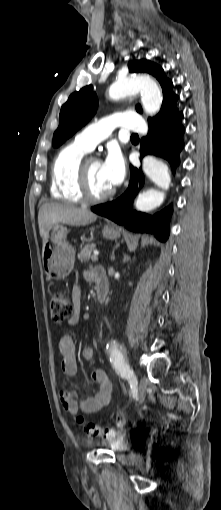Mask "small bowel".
Segmentation results:
<instances>
[{
	"label": "small bowel",
	"instance_id": "small-bowel-1",
	"mask_svg": "<svg viewBox=\"0 0 221 510\" xmlns=\"http://www.w3.org/2000/svg\"><path fill=\"white\" fill-rule=\"evenodd\" d=\"M92 274H90V277ZM72 302L74 306L73 315L69 318L68 324L76 325L80 317L81 308V289L75 285L72 289ZM58 349L61 354L60 366L64 374L76 375L78 371V363L76 358L75 342L72 336L63 335L58 341ZM83 357L88 363L94 361V350L87 347L83 351ZM92 379L98 384V390L86 399H79L74 391L60 393V399L63 407L72 414L79 411L85 414H92L106 406L113 395L114 385L108 374L102 369H95L92 372Z\"/></svg>",
	"mask_w": 221,
	"mask_h": 510
}]
</instances>
